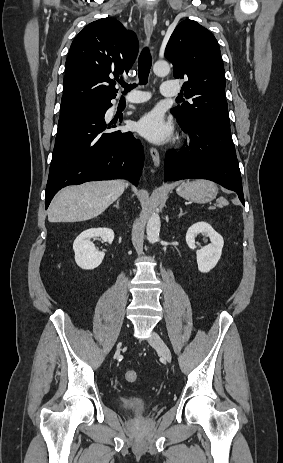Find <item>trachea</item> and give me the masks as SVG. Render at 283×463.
<instances>
[{
    "label": "trachea",
    "instance_id": "3493384b",
    "mask_svg": "<svg viewBox=\"0 0 283 463\" xmlns=\"http://www.w3.org/2000/svg\"><path fill=\"white\" fill-rule=\"evenodd\" d=\"M151 65H152L151 54H150L149 49L146 47L142 50L139 56V59H138L139 84L141 85L147 84ZM119 83L122 87H124L125 92H129L137 86L136 84H127L124 81H120Z\"/></svg>",
    "mask_w": 283,
    "mask_h": 463
}]
</instances>
